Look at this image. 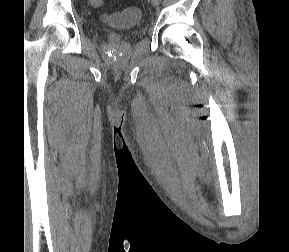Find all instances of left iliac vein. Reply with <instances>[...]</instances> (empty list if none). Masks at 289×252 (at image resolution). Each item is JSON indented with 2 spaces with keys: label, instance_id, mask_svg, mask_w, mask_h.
Here are the masks:
<instances>
[{
  "label": "left iliac vein",
  "instance_id": "4c4485c4",
  "mask_svg": "<svg viewBox=\"0 0 289 252\" xmlns=\"http://www.w3.org/2000/svg\"><path fill=\"white\" fill-rule=\"evenodd\" d=\"M154 6H157L160 3V0H150Z\"/></svg>",
  "mask_w": 289,
  "mask_h": 252
}]
</instances>
